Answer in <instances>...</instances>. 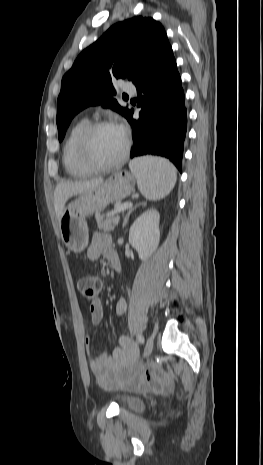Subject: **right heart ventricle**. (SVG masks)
<instances>
[{"label": "right heart ventricle", "mask_w": 263, "mask_h": 465, "mask_svg": "<svg viewBox=\"0 0 263 465\" xmlns=\"http://www.w3.org/2000/svg\"><path fill=\"white\" fill-rule=\"evenodd\" d=\"M86 118L78 120L69 130L63 144L62 162L66 172L74 178H82L92 173L79 160L77 155V141L81 131L88 124Z\"/></svg>", "instance_id": "e07e8e85"}]
</instances>
